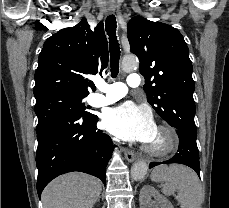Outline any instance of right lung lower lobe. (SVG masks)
Returning a JSON list of instances; mask_svg holds the SVG:
<instances>
[{
  "instance_id": "1",
  "label": "right lung lower lobe",
  "mask_w": 229,
  "mask_h": 208,
  "mask_svg": "<svg viewBox=\"0 0 229 208\" xmlns=\"http://www.w3.org/2000/svg\"><path fill=\"white\" fill-rule=\"evenodd\" d=\"M94 114L69 113L37 130V192L55 177L80 171L106 182V166L114 148L110 137L96 128Z\"/></svg>"
}]
</instances>
